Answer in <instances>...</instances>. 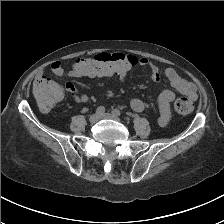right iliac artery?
<instances>
[{
	"label": "right iliac artery",
	"mask_w": 224,
	"mask_h": 224,
	"mask_svg": "<svg viewBox=\"0 0 224 224\" xmlns=\"http://www.w3.org/2000/svg\"><path fill=\"white\" fill-rule=\"evenodd\" d=\"M105 112V108L103 106H100L96 109V114L103 115Z\"/></svg>",
	"instance_id": "obj_1"
}]
</instances>
